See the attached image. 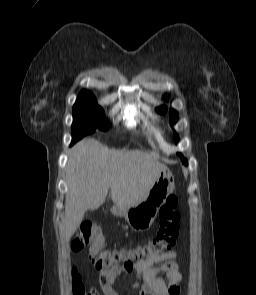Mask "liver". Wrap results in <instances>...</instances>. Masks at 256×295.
<instances>
[{
  "label": "liver",
  "mask_w": 256,
  "mask_h": 295,
  "mask_svg": "<svg viewBox=\"0 0 256 295\" xmlns=\"http://www.w3.org/2000/svg\"><path fill=\"white\" fill-rule=\"evenodd\" d=\"M165 167L147 152L109 149L93 138L78 142L65 170V241L76 232L85 212L105 202L109 189L115 205H133L145 197Z\"/></svg>",
  "instance_id": "liver-1"
}]
</instances>
